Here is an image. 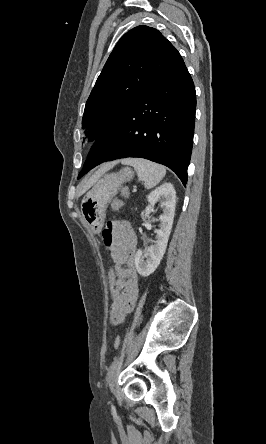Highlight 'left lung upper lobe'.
<instances>
[{"mask_svg":"<svg viewBox=\"0 0 266 444\" xmlns=\"http://www.w3.org/2000/svg\"><path fill=\"white\" fill-rule=\"evenodd\" d=\"M175 47L156 29L137 26L114 47L86 102L82 124L97 140L146 92L181 62ZM83 176L79 174L78 178Z\"/></svg>","mask_w":266,"mask_h":444,"instance_id":"5c2ea615","label":"left lung upper lobe"}]
</instances>
